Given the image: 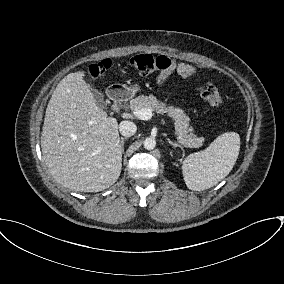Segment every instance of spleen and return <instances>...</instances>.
Returning a JSON list of instances; mask_svg holds the SVG:
<instances>
[{
    "instance_id": "1",
    "label": "spleen",
    "mask_w": 284,
    "mask_h": 284,
    "mask_svg": "<svg viewBox=\"0 0 284 284\" xmlns=\"http://www.w3.org/2000/svg\"><path fill=\"white\" fill-rule=\"evenodd\" d=\"M239 150V134L226 132L219 135L205 150L188 155L182 165L187 187L201 191L219 183L234 167Z\"/></svg>"
}]
</instances>
